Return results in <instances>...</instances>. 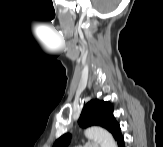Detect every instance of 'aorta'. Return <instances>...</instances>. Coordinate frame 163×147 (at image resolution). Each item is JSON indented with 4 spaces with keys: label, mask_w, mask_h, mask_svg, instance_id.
I'll use <instances>...</instances> for the list:
<instances>
[{
    "label": "aorta",
    "mask_w": 163,
    "mask_h": 147,
    "mask_svg": "<svg viewBox=\"0 0 163 147\" xmlns=\"http://www.w3.org/2000/svg\"><path fill=\"white\" fill-rule=\"evenodd\" d=\"M84 135L86 138L98 142L101 147H117L113 136L101 127H89L85 130Z\"/></svg>",
    "instance_id": "762f6f07"
}]
</instances>
